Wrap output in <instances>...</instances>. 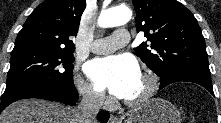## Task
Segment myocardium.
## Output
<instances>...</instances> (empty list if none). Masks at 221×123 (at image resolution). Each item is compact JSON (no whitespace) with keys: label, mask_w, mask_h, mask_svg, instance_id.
<instances>
[{"label":"myocardium","mask_w":221,"mask_h":123,"mask_svg":"<svg viewBox=\"0 0 221 123\" xmlns=\"http://www.w3.org/2000/svg\"><path fill=\"white\" fill-rule=\"evenodd\" d=\"M145 81L147 82V87L144 93L132 100L124 99L123 102L126 106L131 108H137L148 102L157 92L159 87V79L158 77L149 71H144L140 74Z\"/></svg>","instance_id":"myocardium-1"}]
</instances>
